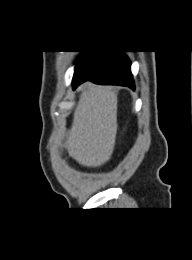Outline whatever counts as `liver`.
I'll return each instance as SVG.
<instances>
[{
	"label": "liver",
	"mask_w": 192,
	"mask_h": 260,
	"mask_svg": "<svg viewBox=\"0 0 192 260\" xmlns=\"http://www.w3.org/2000/svg\"><path fill=\"white\" fill-rule=\"evenodd\" d=\"M73 114L67 150L79 164L99 167L114 150L117 132V95L110 87L86 83Z\"/></svg>",
	"instance_id": "obj_1"
}]
</instances>
